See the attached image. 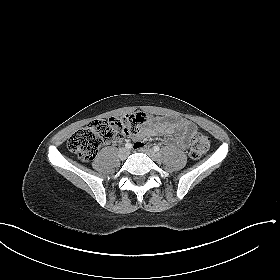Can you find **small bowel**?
Listing matches in <instances>:
<instances>
[{"instance_id": "small-bowel-1", "label": "small bowel", "mask_w": 280, "mask_h": 280, "mask_svg": "<svg viewBox=\"0 0 280 280\" xmlns=\"http://www.w3.org/2000/svg\"><path fill=\"white\" fill-rule=\"evenodd\" d=\"M195 131V125L188 120L158 117L149 126L140 129L133 137L138 141L135 146L141 148L143 144L140 141L146 136H170L179 132L178 142L186 147L189 137Z\"/></svg>"}]
</instances>
